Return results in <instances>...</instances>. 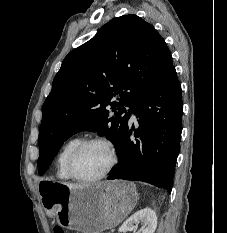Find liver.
Instances as JSON below:
<instances>
[{"instance_id": "liver-1", "label": "liver", "mask_w": 227, "mask_h": 233, "mask_svg": "<svg viewBox=\"0 0 227 233\" xmlns=\"http://www.w3.org/2000/svg\"><path fill=\"white\" fill-rule=\"evenodd\" d=\"M67 186H69L70 188H78V187H81L79 185H72V184H65Z\"/></svg>"}]
</instances>
